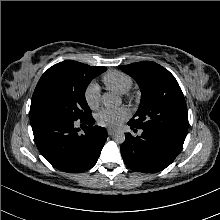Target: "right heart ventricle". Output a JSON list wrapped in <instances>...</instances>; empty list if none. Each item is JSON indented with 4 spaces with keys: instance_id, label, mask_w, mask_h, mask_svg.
Wrapping results in <instances>:
<instances>
[{
    "instance_id": "obj_1",
    "label": "right heart ventricle",
    "mask_w": 220,
    "mask_h": 220,
    "mask_svg": "<svg viewBox=\"0 0 220 220\" xmlns=\"http://www.w3.org/2000/svg\"><path fill=\"white\" fill-rule=\"evenodd\" d=\"M104 85L117 93L125 94L132 87V78L121 71H108L102 77Z\"/></svg>"
}]
</instances>
